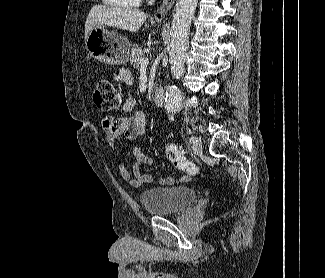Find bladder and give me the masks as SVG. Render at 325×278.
Listing matches in <instances>:
<instances>
[{"label": "bladder", "mask_w": 325, "mask_h": 278, "mask_svg": "<svg viewBox=\"0 0 325 278\" xmlns=\"http://www.w3.org/2000/svg\"><path fill=\"white\" fill-rule=\"evenodd\" d=\"M197 197L190 186L153 187L140 195L141 203L151 216H165L182 212L192 205Z\"/></svg>", "instance_id": "obj_1"}]
</instances>
